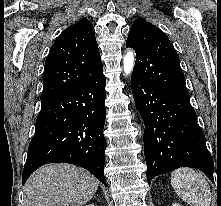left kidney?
<instances>
[{
  "instance_id": "5707ae66",
  "label": "left kidney",
  "mask_w": 221,
  "mask_h": 206,
  "mask_svg": "<svg viewBox=\"0 0 221 206\" xmlns=\"http://www.w3.org/2000/svg\"><path fill=\"white\" fill-rule=\"evenodd\" d=\"M172 206H181V205L178 203H174Z\"/></svg>"
}]
</instances>
